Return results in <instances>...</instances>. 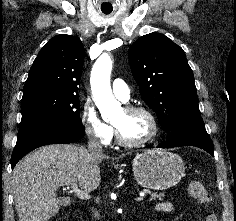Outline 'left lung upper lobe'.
<instances>
[{"label": "left lung upper lobe", "instance_id": "5c2ea615", "mask_svg": "<svg viewBox=\"0 0 236 221\" xmlns=\"http://www.w3.org/2000/svg\"><path fill=\"white\" fill-rule=\"evenodd\" d=\"M133 77L162 129L204 123L193 72L183 49L161 33L140 37L128 50Z\"/></svg>", "mask_w": 236, "mask_h": 221}]
</instances>
